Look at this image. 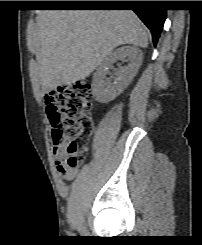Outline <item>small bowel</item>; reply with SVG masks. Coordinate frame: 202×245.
Here are the masks:
<instances>
[{
  "mask_svg": "<svg viewBox=\"0 0 202 245\" xmlns=\"http://www.w3.org/2000/svg\"><path fill=\"white\" fill-rule=\"evenodd\" d=\"M55 94L53 92H50L45 97V103L47 105V110L49 113V117L51 120H53L54 116V109L56 106L55 101ZM64 143L59 142L57 144H53L52 146V154L55 159V167L58 172V174L65 179L66 181H71L74 179L78 172L77 167H70L66 164V158L63 152Z\"/></svg>",
  "mask_w": 202,
  "mask_h": 245,
  "instance_id": "obj_1",
  "label": "small bowel"
}]
</instances>
